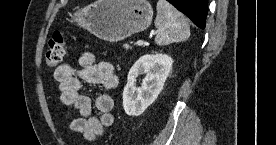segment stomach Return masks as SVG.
Masks as SVG:
<instances>
[{
    "instance_id": "1",
    "label": "stomach",
    "mask_w": 276,
    "mask_h": 145,
    "mask_svg": "<svg viewBox=\"0 0 276 145\" xmlns=\"http://www.w3.org/2000/svg\"><path fill=\"white\" fill-rule=\"evenodd\" d=\"M71 16L96 37L117 42L147 29L153 10L147 0H97Z\"/></svg>"
}]
</instances>
